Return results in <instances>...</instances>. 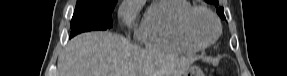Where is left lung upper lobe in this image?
I'll use <instances>...</instances> for the list:
<instances>
[{
	"mask_svg": "<svg viewBox=\"0 0 287 76\" xmlns=\"http://www.w3.org/2000/svg\"><path fill=\"white\" fill-rule=\"evenodd\" d=\"M205 1H206L207 3L213 4V5L216 6V7L219 6V2H217V1H213V0H205ZM217 13H218V15H219L221 18L225 19V16H224V13H223V7H218Z\"/></svg>",
	"mask_w": 287,
	"mask_h": 76,
	"instance_id": "obj_1",
	"label": "left lung upper lobe"
}]
</instances>
